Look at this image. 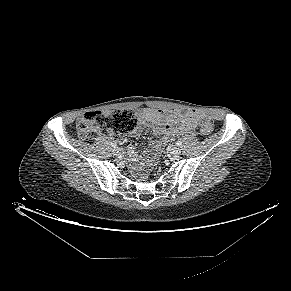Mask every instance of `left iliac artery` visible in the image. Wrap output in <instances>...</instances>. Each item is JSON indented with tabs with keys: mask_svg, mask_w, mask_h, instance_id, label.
Masks as SVG:
<instances>
[{
	"mask_svg": "<svg viewBox=\"0 0 291 291\" xmlns=\"http://www.w3.org/2000/svg\"><path fill=\"white\" fill-rule=\"evenodd\" d=\"M176 144H177L178 146H181V145H182V142H181L180 140H178V141L176 142Z\"/></svg>",
	"mask_w": 291,
	"mask_h": 291,
	"instance_id": "obj_1",
	"label": "left iliac artery"
}]
</instances>
